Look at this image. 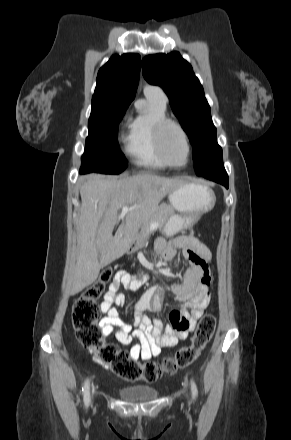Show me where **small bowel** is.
Returning a JSON list of instances; mask_svg holds the SVG:
<instances>
[{
	"label": "small bowel",
	"instance_id": "obj_1",
	"mask_svg": "<svg viewBox=\"0 0 291 440\" xmlns=\"http://www.w3.org/2000/svg\"><path fill=\"white\" fill-rule=\"evenodd\" d=\"M178 250L189 262L181 284H173L172 291L179 300L187 301L189 309L171 310L169 319L176 318V325H166L161 320H152L144 314L149 306L150 297L145 295L136 305L133 323H125L113 305H122L125 296L119 292L121 285L135 290L142 284L136 278H130L126 272H118L110 283L108 291L101 303V311L105 316L100 320L104 336L114 335L116 339L129 345L134 339L129 354L135 361H147L161 353L163 347H174L195 331L198 319L202 316L209 303L206 287L210 281L212 254L210 249L189 232L169 240L159 239L155 244V253L166 260H172ZM187 320L188 323H183ZM132 326L134 328H132ZM95 359V358H94ZM96 360V359H95ZM105 368L109 366L103 364Z\"/></svg>",
	"mask_w": 291,
	"mask_h": 440
}]
</instances>
